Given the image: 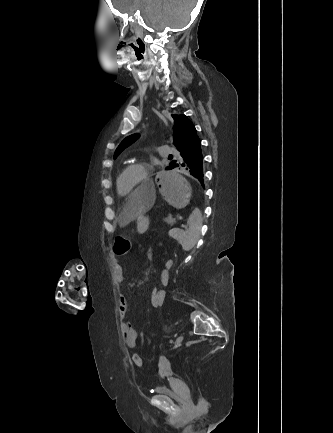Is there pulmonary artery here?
Returning <instances> with one entry per match:
<instances>
[{
  "instance_id": "obj_1",
  "label": "pulmonary artery",
  "mask_w": 333,
  "mask_h": 433,
  "mask_svg": "<svg viewBox=\"0 0 333 433\" xmlns=\"http://www.w3.org/2000/svg\"><path fill=\"white\" fill-rule=\"evenodd\" d=\"M163 150L165 151V152H172V150H170L169 148H163Z\"/></svg>"
}]
</instances>
